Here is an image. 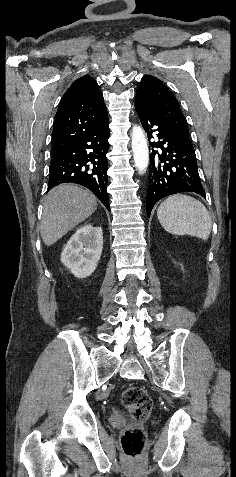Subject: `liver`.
Masks as SVG:
<instances>
[{
  "instance_id": "6515ba94",
  "label": "liver",
  "mask_w": 236,
  "mask_h": 477,
  "mask_svg": "<svg viewBox=\"0 0 236 477\" xmlns=\"http://www.w3.org/2000/svg\"><path fill=\"white\" fill-rule=\"evenodd\" d=\"M97 209L96 197L77 185L62 184L47 194L43 204L41 237L47 246L56 243Z\"/></svg>"
}]
</instances>
